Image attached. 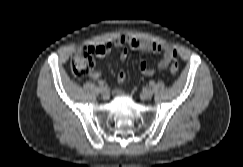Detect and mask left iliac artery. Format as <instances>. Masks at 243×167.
Here are the masks:
<instances>
[{
    "instance_id": "44dca946",
    "label": "left iliac artery",
    "mask_w": 243,
    "mask_h": 167,
    "mask_svg": "<svg viewBox=\"0 0 243 167\" xmlns=\"http://www.w3.org/2000/svg\"><path fill=\"white\" fill-rule=\"evenodd\" d=\"M149 84H150L151 86H153V85H154V81L151 80V81L149 82Z\"/></svg>"
}]
</instances>
